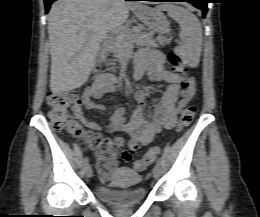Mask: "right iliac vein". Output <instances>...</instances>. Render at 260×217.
<instances>
[{"label": "right iliac vein", "mask_w": 260, "mask_h": 217, "mask_svg": "<svg viewBox=\"0 0 260 217\" xmlns=\"http://www.w3.org/2000/svg\"><path fill=\"white\" fill-rule=\"evenodd\" d=\"M85 175L90 178L92 176V168L90 167V165H87L85 167Z\"/></svg>", "instance_id": "1"}]
</instances>
